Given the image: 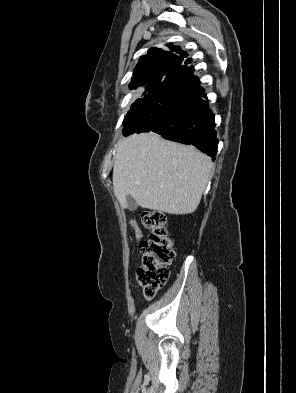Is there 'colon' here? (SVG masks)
<instances>
[{
  "label": "colon",
  "mask_w": 296,
  "mask_h": 393,
  "mask_svg": "<svg viewBox=\"0 0 296 393\" xmlns=\"http://www.w3.org/2000/svg\"><path fill=\"white\" fill-rule=\"evenodd\" d=\"M141 221L150 232L147 240H140L141 232L136 222L130 223L136 238L140 240L139 247L142 255L137 269V280L145 296L153 297L168 279V266L175 257V250L168 234L164 213L146 210L141 214Z\"/></svg>",
  "instance_id": "1"
}]
</instances>
